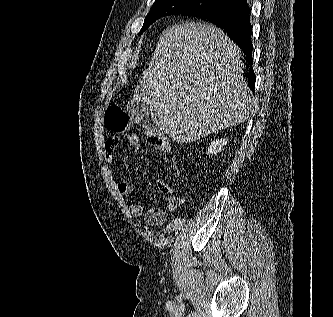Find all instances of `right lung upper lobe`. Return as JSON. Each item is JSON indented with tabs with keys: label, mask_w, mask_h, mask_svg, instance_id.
Returning <instances> with one entry per match:
<instances>
[{
	"label": "right lung upper lobe",
	"mask_w": 333,
	"mask_h": 317,
	"mask_svg": "<svg viewBox=\"0 0 333 317\" xmlns=\"http://www.w3.org/2000/svg\"><path fill=\"white\" fill-rule=\"evenodd\" d=\"M230 3H234L236 1H239V0H228Z\"/></svg>",
	"instance_id": "obj_1"
}]
</instances>
